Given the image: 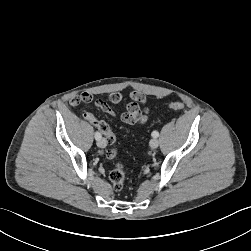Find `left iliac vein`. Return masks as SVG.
<instances>
[{
  "mask_svg": "<svg viewBox=\"0 0 251 251\" xmlns=\"http://www.w3.org/2000/svg\"><path fill=\"white\" fill-rule=\"evenodd\" d=\"M150 146L151 148L155 149L159 146V141L156 138H153L150 140Z\"/></svg>",
  "mask_w": 251,
  "mask_h": 251,
  "instance_id": "4c4485c4",
  "label": "left iliac vein"
}]
</instances>
